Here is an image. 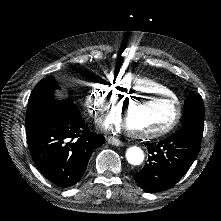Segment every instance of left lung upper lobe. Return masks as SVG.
I'll return each instance as SVG.
<instances>
[{
    "label": "left lung upper lobe",
    "instance_id": "left-lung-upper-lobe-1",
    "mask_svg": "<svg viewBox=\"0 0 221 221\" xmlns=\"http://www.w3.org/2000/svg\"><path fill=\"white\" fill-rule=\"evenodd\" d=\"M204 104L200 94L191 93L184 103L183 127L194 129L203 133L204 126Z\"/></svg>",
    "mask_w": 221,
    "mask_h": 221
}]
</instances>
